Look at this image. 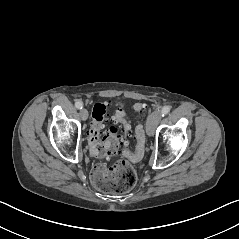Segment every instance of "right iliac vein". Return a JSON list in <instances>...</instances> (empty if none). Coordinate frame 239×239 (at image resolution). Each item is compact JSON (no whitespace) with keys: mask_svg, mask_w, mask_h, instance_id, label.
<instances>
[{"mask_svg":"<svg viewBox=\"0 0 239 239\" xmlns=\"http://www.w3.org/2000/svg\"><path fill=\"white\" fill-rule=\"evenodd\" d=\"M80 117L82 120H87L88 118V111L84 108L80 110Z\"/></svg>","mask_w":239,"mask_h":239,"instance_id":"obj_1","label":"right iliac vein"}]
</instances>
